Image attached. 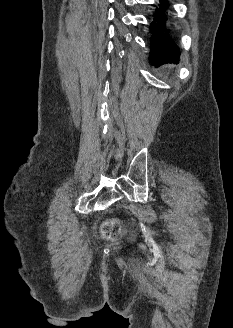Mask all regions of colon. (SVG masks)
<instances>
[{
    "label": "colon",
    "instance_id": "colon-1",
    "mask_svg": "<svg viewBox=\"0 0 233 328\" xmlns=\"http://www.w3.org/2000/svg\"><path fill=\"white\" fill-rule=\"evenodd\" d=\"M103 230L106 237L112 238L121 232V225L114 220L107 221L103 226Z\"/></svg>",
    "mask_w": 233,
    "mask_h": 328
}]
</instances>
